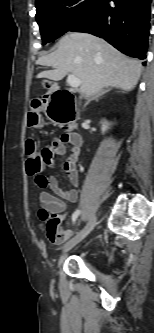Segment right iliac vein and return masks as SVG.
Returning <instances> with one entry per match:
<instances>
[{
  "instance_id": "1",
  "label": "right iliac vein",
  "mask_w": 154,
  "mask_h": 333,
  "mask_svg": "<svg viewBox=\"0 0 154 333\" xmlns=\"http://www.w3.org/2000/svg\"><path fill=\"white\" fill-rule=\"evenodd\" d=\"M96 224H97V218L96 216H94L83 228V230H81L77 235H75L69 242H67L64 245L62 253L63 254L67 253L78 243H80L94 229Z\"/></svg>"
}]
</instances>
